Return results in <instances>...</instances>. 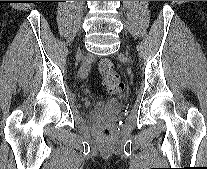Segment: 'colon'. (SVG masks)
Masks as SVG:
<instances>
[{
  "instance_id": "colon-1",
  "label": "colon",
  "mask_w": 207,
  "mask_h": 169,
  "mask_svg": "<svg viewBox=\"0 0 207 169\" xmlns=\"http://www.w3.org/2000/svg\"><path fill=\"white\" fill-rule=\"evenodd\" d=\"M99 71L102 77L103 86L109 94L118 95L124 90V83L119 74L114 70L113 64L108 59H103L99 63ZM104 139L112 137V129L109 125H103L99 131Z\"/></svg>"
}]
</instances>
